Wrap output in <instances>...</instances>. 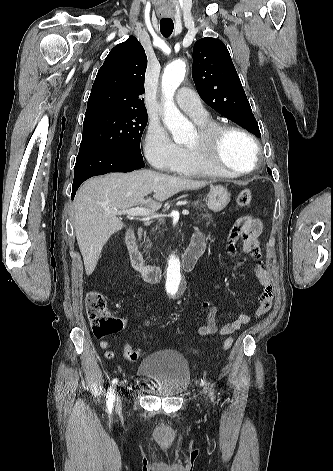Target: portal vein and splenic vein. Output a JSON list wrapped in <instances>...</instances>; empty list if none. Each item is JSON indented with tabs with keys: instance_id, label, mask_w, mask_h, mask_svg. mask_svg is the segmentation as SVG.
I'll return each instance as SVG.
<instances>
[{
	"instance_id": "obj_1",
	"label": "portal vein and splenic vein",
	"mask_w": 333,
	"mask_h": 471,
	"mask_svg": "<svg viewBox=\"0 0 333 471\" xmlns=\"http://www.w3.org/2000/svg\"><path fill=\"white\" fill-rule=\"evenodd\" d=\"M116 214H126L127 216H146V217H159L160 215H157L154 213L153 210H149V209H146V208H142V207H134V208H129V209H126V210H115L114 211ZM182 214L183 215H189V211L188 210H183L182 211Z\"/></svg>"
}]
</instances>
